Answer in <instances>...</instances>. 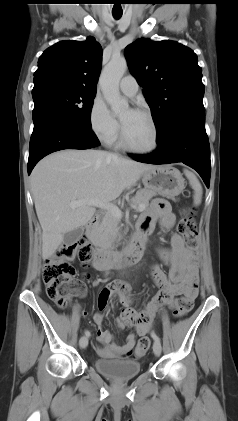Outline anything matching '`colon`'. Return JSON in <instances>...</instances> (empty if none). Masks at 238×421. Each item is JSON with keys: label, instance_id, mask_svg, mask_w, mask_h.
Listing matches in <instances>:
<instances>
[{"label": "colon", "instance_id": "obj_1", "mask_svg": "<svg viewBox=\"0 0 238 421\" xmlns=\"http://www.w3.org/2000/svg\"><path fill=\"white\" fill-rule=\"evenodd\" d=\"M178 232L183 236L187 246L196 251L199 237L193 219V209L186 208L178 223ZM77 256L84 266L92 257V248L84 240L72 245H61L57 251L46 259L43 269V278L47 288L48 297L58 307L66 308L74 294H80L84 290V279H77L75 269L69 260ZM192 303L178 298L175 304L174 316L182 318L190 312ZM134 314H132L133 316ZM151 340L148 336H142L137 342L134 356H142L150 347Z\"/></svg>", "mask_w": 238, "mask_h": 421}]
</instances>
